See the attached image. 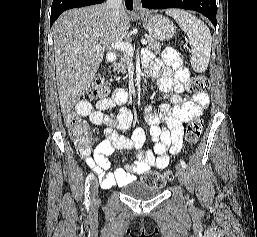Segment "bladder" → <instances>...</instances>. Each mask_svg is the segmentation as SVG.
Here are the masks:
<instances>
[{
    "instance_id": "obj_1",
    "label": "bladder",
    "mask_w": 257,
    "mask_h": 237,
    "mask_svg": "<svg viewBox=\"0 0 257 237\" xmlns=\"http://www.w3.org/2000/svg\"><path fill=\"white\" fill-rule=\"evenodd\" d=\"M126 194L137 200H148L158 196L161 193V188L148 185L140 181H132L127 186Z\"/></svg>"
}]
</instances>
